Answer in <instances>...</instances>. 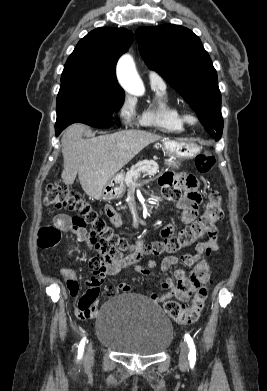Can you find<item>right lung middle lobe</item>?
I'll list each match as a JSON object with an SVG mask.
<instances>
[{
	"label": "right lung middle lobe",
	"mask_w": 267,
	"mask_h": 391,
	"mask_svg": "<svg viewBox=\"0 0 267 391\" xmlns=\"http://www.w3.org/2000/svg\"><path fill=\"white\" fill-rule=\"evenodd\" d=\"M123 102L122 88L98 78L77 76L61 79L55 129L61 132L75 122L97 128L111 127L112 113L117 112Z\"/></svg>",
	"instance_id": "1"
}]
</instances>
